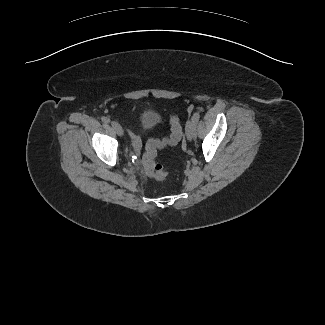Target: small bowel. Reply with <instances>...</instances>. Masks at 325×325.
Wrapping results in <instances>:
<instances>
[{"label": "small bowel", "mask_w": 325, "mask_h": 325, "mask_svg": "<svg viewBox=\"0 0 325 325\" xmlns=\"http://www.w3.org/2000/svg\"><path fill=\"white\" fill-rule=\"evenodd\" d=\"M132 144L136 152H139L142 148V142L138 135L132 134Z\"/></svg>", "instance_id": "small-bowel-1"}]
</instances>
